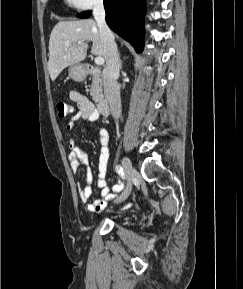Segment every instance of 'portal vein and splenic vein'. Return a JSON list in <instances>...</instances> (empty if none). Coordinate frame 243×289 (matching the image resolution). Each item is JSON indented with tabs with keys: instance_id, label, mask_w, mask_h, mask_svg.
<instances>
[{
	"instance_id": "18ae733b",
	"label": "portal vein and splenic vein",
	"mask_w": 243,
	"mask_h": 289,
	"mask_svg": "<svg viewBox=\"0 0 243 289\" xmlns=\"http://www.w3.org/2000/svg\"><path fill=\"white\" fill-rule=\"evenodd\" d=\"M78 44H81V43L78 42ZM69 45H70L69 43H66V46H69ZM94 61H95L96 65H103L104 64V58L101 56L96 57Z\"/></svg>"
}]
</instances>
